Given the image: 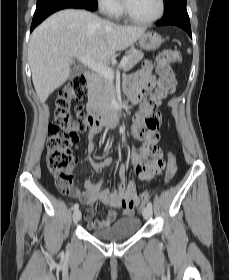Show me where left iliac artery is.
<instances>
[{
  "mask_svg": "<svg viewBox=\"0 0 229 280\" xmlns=\"http://www.w3.org/2000/svg\"><path fill=\"white\" fill-rule=\"evenodd\" d=\"M147 206L150 207V208H152V203L149 202V203L147 204Z\"/></svg>",
  "mask_w": 229,
  "mask_h": 280,
  "instance_id": "1",
  "label": "left iliac artery"
}]
</instances>
